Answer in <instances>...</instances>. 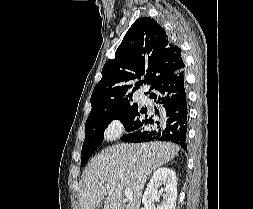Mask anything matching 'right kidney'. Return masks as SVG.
Returning <instances> with one entry per match:
<instances>
[{"mask_svg": "<svg viewBox=\"0 0 253 209\" xmlns=\"http://www.w3.org/2000/svg\"><path fill=\"white\" fill-rule=\"evenodd\" d=\"M159 187H162L160 191H158ZM162 194L164 200L156 208L154 201ZM176 198L177 179L175 172L166 167L157 169L149 180L142 198L144 209H175Z\"/></svg>", "mask_w": 253, "mask_h": 209, "instance_id": "1", "label": "right kidney"}]
</instances>
